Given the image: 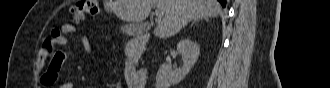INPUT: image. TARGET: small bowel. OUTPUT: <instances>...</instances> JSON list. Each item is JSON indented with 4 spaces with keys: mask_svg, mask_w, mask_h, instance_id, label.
<instances>
[{
    "mask_svg": "<svg viewBox=\"0 0 330 88\" xmlns=\"http://www.w3.org/2000/svg\"><path fill=\"white\" fill-rule=\"evenodd\" d=\"M61 34L52 38L51 40H47L43 43L42 49L38 53L37 58V67L39 69H42L45 64V60L48 56V52L50 51L49 48L46 46V43L48 45H58L63 46L69 43V35L75 34L77 32V29L72 24H64L60 28ZM81 43L87 52L88 55H93V46L91 41L86 36L80 37ZM69 58V54L67 52H60L55 56V64L56 66H53V63H51L47 70L42 72L39 76V82L40 84L44 86H50L56 83L58 79V74L61 69V66L65 63V61ZM129 69V68H128ZM73 84L68 82L61 86V88H72Z\"/></svg>",
    "mask_w": 330,
    "mask_h": 88,
    "instance_id": "c3829d8e",
    "label": "small bowel"
}]
</instances>
